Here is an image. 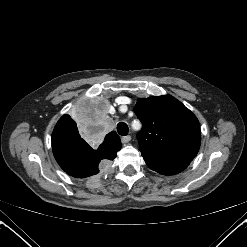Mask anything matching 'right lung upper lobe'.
<instances>
[{"label": "right lung upper lobe", "mask_w": 247, "mask_h": 247, "mask_svg": "<svg viewBox=\"0 0 247 247\" xmlns=\"http://www.w3.org/2000/svg\"><path fill=\"white\" fill-rule=\"evenodd\" d=\"M54 131H66L73 134H79L76 123L67 114L63 115L57 122ZM101 148L106 147L113 151H119L121 149V142L116 132L112 131L106 135Z\"/></svg>", "instance_id": "obj_1"}]
</instances>
